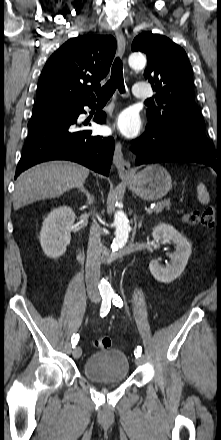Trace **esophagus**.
Here are the masks:
<instances>
[{
  "label": "esophagus",
  "instance_id": "esophagus-1",
  "mask_svg": "<svg viewBox=\"0 0 221 440\" xmlns=\"http://www.w3.org/2000/svg\"><path fill=\"white\" fill-rule=\"evenodd\" d=\"M115 35L118 43V52L119 55L122 56L125 52V47H126L125 37L121 29H116ZM113 163L116 166L120 177H126L129 175L131 171V164L129 161L124 159L122 152V144L119 141H117L115 146Z\"/></svg>",
  "mask_w": 221,
  "mask_h": 440
}]
</instances>
